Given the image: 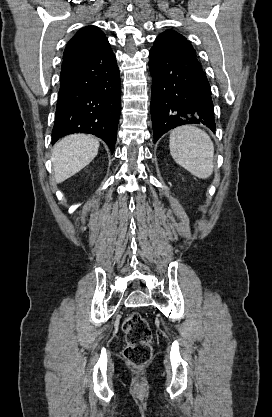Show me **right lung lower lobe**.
Listing matches in <instances>:
<instances>
[{
  "label": "right lung lower lobe",
  "mask_w": 272,
  "mask_h": 417,
  "mask_svg": "<svg viewBox=\"0 0 272 417\" xmlns=\"http://www.w3.org/2000/svg\"><path fill=\"white\" fill-rule=\"evenodd\" d=\"M120 110V74L107 41L88 57L63 61L52 143L72 133H90L113 153Z\"/></svg>",
  "instance_id": "98d812e1"
}]
</instances>
